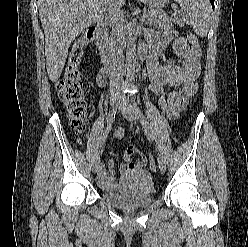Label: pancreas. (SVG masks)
Segmentation results:
<instances>
[{"instance_id": "pancreas-1", "label": "pancreas", "mask_w": 248, "mask_h": 247, "mask_svg": "<svg viewBox=\"0 0 248 247\" xmlns=\"http://www.w3.org/2000/svg\"><path fill=\"white\" fill-rule=\"evenodd\" d=\"M148 24L150 26H155L156 28H170L172 26V23L177 24L179 26H183V23L178 20L177 18H168L166 14L163 11L157 10V11H148L147 14ZM119 33H121V30H119ZM111 35L108 39V45L111 49L114 43V34L111 32Z\"/></svg>"}]
</instances>
